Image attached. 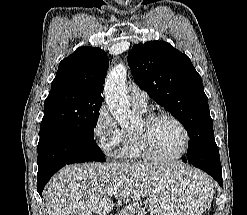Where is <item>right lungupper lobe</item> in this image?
<instances>
[{
    "label": "right lung upper lobe",
    "instance_id": "1",
    "mask_svg": "<svg viewBox=\"0 0 247 215\" xmlns=\"http://www.w3.org/2000/svg\"><path fill=\"white\" fill-rule=\"evenodd\" d=\"M108 66V57L100 48L79 47L59 63L50 92L69 89L78 96L103 101Z\"/></svg>",
    "mask_w": 247,
    "mask_h": 215
}]
</instances>
